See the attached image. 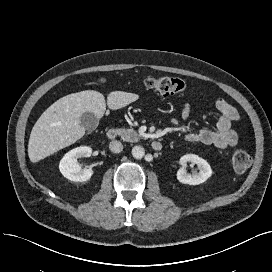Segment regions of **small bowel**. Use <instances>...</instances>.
Here are the masks:
<instances>
[{
    "instance_id": "obj_1",
    "label": "small bowel",
    "mask_w": 272,
    "mask_h": 272,
    "mask_svg": "<svg viewBox=\"0 0 272 272\" xmlns=\"http://www.w3.org/2000/svg\"><path fill=\"white\" fill-rule=\"evenodd\" d=\"M215 105L221 113L217 122V128L188 131L185 135V140L187 142H200L221 149L232 147L237 144L238 135L232 128V123L239 120V112L234 106L222 98L217 99ZM180 113L181 117L184 120H187L191 114V105L189 103L183 104Z\"/></svg>"
}]
</instances>
